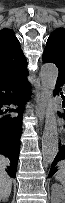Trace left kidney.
<instances>
[{"label":"left kidney","mask_w":65,"mask_h":203,"mask_svg":"<svg viewBox=\"0 0 65 203\" xmlns=\"http://www.w3.org/2000/svg\"><path fill=\"white\" fill-rule=\"evenodd\" d=\"M53 188L56 190L53 192L52 203H65V188L58 184H53Z\"/></svg>","instance_id":"1"}]
</instances>
